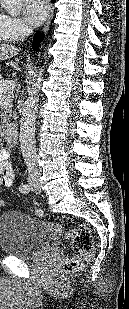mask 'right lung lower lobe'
<instances>
[{
	"mask_svg": "<svg viewBox=\"0 0 129 309\" xmlns=\"http://www.w3.org/2000/svg\"><path fill=\"white\" fill-rule=\"evenodd\" d=\"M54 1H55V0H53V2H54ZM40 40H41L40 34H37V35L35 36L34 41H33V45H34L33 48H34L35 50L38 49Z\"/></svg>",
	"mask_w": 129,
	"mask_h": 309,
	"instance_id": "obj_1",
	"label": "right lung lower lobe"
}]
</instances>
